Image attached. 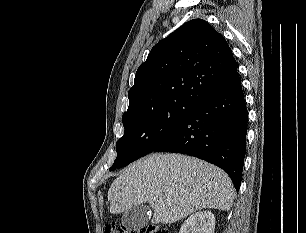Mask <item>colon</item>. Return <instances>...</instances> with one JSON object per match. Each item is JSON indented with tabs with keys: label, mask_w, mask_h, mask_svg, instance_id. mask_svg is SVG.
I'll use <instances>...</instances> for the list:
<instances>
[{
	"label": "colon",
	"mask_w": 306,
	"mask_h": 233,
	"mask_svg": "<svg viewBox=\"0 0 306 233\" xmlns=\"http://www.w3.org/2000/svg\"><path fill=\"white\" fill-rule=\"evenodd\" d=\"M104 233H172V231L159 224H151L140 230H132L125 226H117L116 224H108L104 228Z\"/></svg>",
	"instance_id": "5ec220e1"
}]
</instances>
